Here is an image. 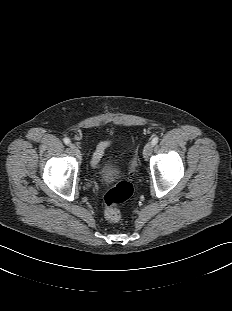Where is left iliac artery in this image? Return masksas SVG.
<instances>
[{"mask_svg":"<svg viewBox=\"0 0 232 311\" xmlns=\"http://www.w3.org/2000/svg\"><path fill=\"white\" fill-rule=\"evenodd\" d=\"M158 141H159V137H158V136H155V137L152 139L151 143H152V145L154 146V145H156V144L158 143Z\"/></svg>","mask_w":232,"mask_h":311,"instance_id":"left-iliac-artery-1","label":"left iliac artery"}]
</instances>
